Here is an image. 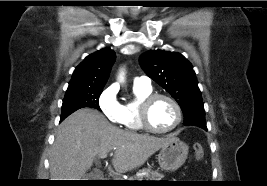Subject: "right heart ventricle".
<instances>
[{
  "instance_id": "right-heart-ventricle-1",
  "label": "right heart ventricle",
  "mask_w": 267,
  "mask_h": 186,
  "mask_svg": "<svg viewBox=\"0 0 267 186\" xmlns=\"http://www.w3.org/2000/svg\"><path fill=\"white\" fill-rule=\"evenodd\" d=\"M133 91L135 98L120 105V117L118 123L127 130L142 131L143 127L139 120V105L144 97L152 93V88L134 84Z\"/></svg>"
}]
</instances>
